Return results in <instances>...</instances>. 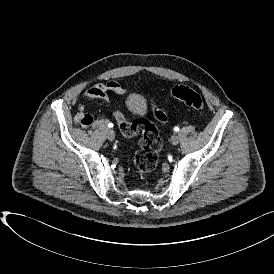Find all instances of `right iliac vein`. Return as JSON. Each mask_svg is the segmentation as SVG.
I'll use <instances>...</instances> for the list:
<instances>
[{"label": "right iliac vein", "mask_w": 274, "mask_h": 274, "mask_svg": "<svg viewBox=\"0 0 274 274\" xmlns=\"http://www.w3.org/2000/svg\"><path fill=\"white\" fill-rule=\"evenodd\" d=\"M107 138L112 141L115 139V133L112 129L107 130Z\"/></svg>", "instance_id": "1"}]
</instances>
